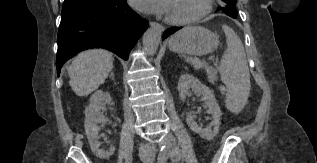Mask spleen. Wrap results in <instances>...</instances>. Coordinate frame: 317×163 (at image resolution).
<instances>
[{
    "label": "spleen",
    "instance_id": "spleen-1",
    "mask_svg": "<svg viewBox=\"0 0 317 163\" xmlns=\"http://www.w3.org/2000/svg\"><path fill=\"white\" fill-rule=\"evenodd\" d=\"M227 49L222 56L219 72L227 87L225 105L232 113H239L247 103L250 74L242 41L230 27L223 25Z\"/></svg>",
    "mask_w": 317,
    "mask_h": 163
}]
</instances>
